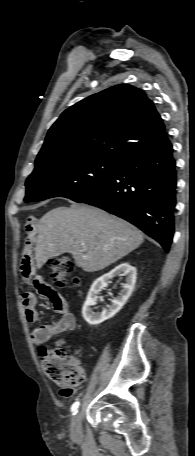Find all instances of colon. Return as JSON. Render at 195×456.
<instances>
[{
    "instance_id": "1",
    "label": "colon",
    "mask_w": 195,
    "mask_h": 456,
    "mask_svg": "<svg viewBox=\"0 0 195 456\" xmlns=\"http://www.w3.org/2000/svg\"><path fill=\"white\" fill-rule=\"evenodd\" d=\"M48 265L57 287L79 283V278L74 274V262L69 256L52 258L48 261ZM40 355L44 370L61 387L74 388L83 382L84 369L76 359L69 357L64 349L41 347Z\"/></svg>"
}]
</instances>
